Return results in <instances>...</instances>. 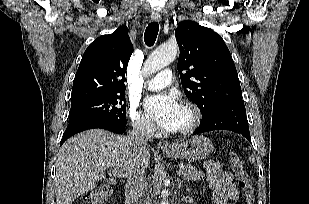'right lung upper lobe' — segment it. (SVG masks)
I'll return each instance as SVG.
<instances>
[{
  "label": "right lung upper lobe",
  "mask_w": 309,
  "mask_h": 204,
  "mask_svg": "<svg viewBox=\"0 0 309 204\" xmlns=\"http://www.w3.org/2000/svg\"><path fill=\"white\" fill-rule=\"evenodd\" d=\"M132 52L133 45L126 26L92 42L83 54L75 75L71 104L125 92V72Z\"/></svg>",
  "instance_id": "cb5924a9"
}]
</instances>
